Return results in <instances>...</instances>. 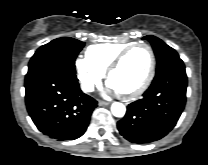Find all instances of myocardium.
<instances>
[{
	"label": "myocardium",
	"mask_w": 208,
	"mask_h": 165,
	"mask_svg": "<svg viewBox=\"0 0 208 165\" xmlns=\"http://www.w3.org/2000/svg\"><path fill=\"white\" fill-rule=\"evenodd\" d=\"M137 47H145L149 51L150 54V66L148 73L142 82L140 86H138L136 89L127 92V93H119L118 95L123 99H134L138 96H140L143 92L146 91V89L149 87V85L152 82V79L154 77L155 68H156V56L153 48L145 43V42H136L132 43L131 45L127 46L123 50H121L116 57L112 60L110 65L108 66L106 70V80L109 83L111 74L121 65L123 60L126 58V56L135 48ZM110 84V83H109ZM117 92V91H116Z\"/></svg>",
	"instance_id": "f54148a6"
}]
</instances>
